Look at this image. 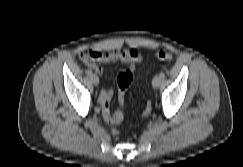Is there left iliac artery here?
<instances>
[{
    "label": "left iliac artery",
    "instance_id": "44dca946",
    "mask_svg": "<svg viewBox=\"0 0 243 167\" xmlns=\"http://www.w3.org/2000/svg\"><path fill=\"white\" fill-rule=\"evenodd\" d=\"M159 77L164 78L165 77L164 72H160Z\"/></svg>",
    "mask_w": 243,
    "mask_h": 167
}]
</instances>
